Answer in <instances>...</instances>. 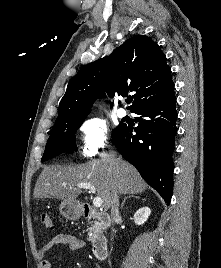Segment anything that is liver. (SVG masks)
I'll use <instances>...</instances> for the list:
<instances>
[{
	"label": "liver",
	"mask_w": 221,
	"mask_h": 268,
	"mask_svg": "<svg viewBox=\"0 0 221 268\" xmlns=\"http://www.w3.org/2000/svg\"><path fill=\"white\" fill-rule=\"evenodd\" d=\"M89 183L95 186L102 198L103 208L111 207L114 192L137 194L146 190L147 184L138 171L114 152L104 153L76 167L53 165L44 167L35 188L34 198H56L74 201L82 193L76 185Z\"/></svg>",
	"instance_id": "1"
}]
</instances>
